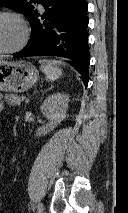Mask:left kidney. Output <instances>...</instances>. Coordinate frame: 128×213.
I'll return each instance as SVG.
<instances>
[{
    "label": "left kidney",
    "instance_id": "obj_1",
    "mask_svg": "<svg viewBox=\"0 0 128 213\" xmlns=\"http://www.w3.org/2000/svg\"><path fill=\"white\" fill-rule=\"evenodd\" d=\"M69 97L64 93H55L47 97L41 105V112L49 122L38 128L36 136H41L52 131L66 118Z\"/></svg>",
    "mask_w": 128,
    "mask_h": 213
}]
</instances>
